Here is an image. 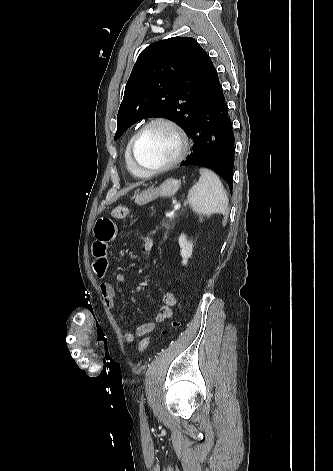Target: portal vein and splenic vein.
<instances>
[{"label": "portal vein and splenic vein", "mask_w": 333, "mask_h": 471, "mask_svg": "<svg viewBox=\"0 0 333 471\" xmlns=\"http://www.w3.org/2000/svg\"><path fill=\"white\" fill-rule=\"evenodd\" d=\"M181 208V203L180 202H177L175 205H174V211H177Z\"/></svg>", "instance_id": "obj_1"}]
</instances>
